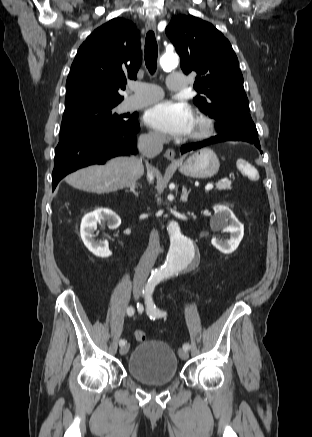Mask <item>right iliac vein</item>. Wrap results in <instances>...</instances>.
I'll use <instances>...</instances> for the list:
<instances>
[{"label": "right iliac vein", "instance_id": "right-iliac-vein-1", "mask_svg": "<svg viewBox=\"0 0 312 437\" xmlns=\"http://www.w3.org/2000/svg\"><path fill=\"white\" fill-rule=\"evenodd\" d=\"M142 289H143V282L139 277H136V281L134 284V296H135V298H139V296L142 293ZM128 350H129V344H124L120 348V354L124 355L128 352Z\"/></svg>", "mask_w": 312, "mask_h": 437}]
</instances>
